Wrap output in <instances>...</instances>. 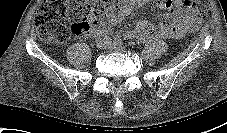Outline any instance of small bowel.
<instances>
[{"label": "small bowel", "mask_w": 227, "mask_h": 133, "mask_svg": "<svg viewBox=\"0 0 227 133\" xmlns=\"http://www.w3.org/2000/svg\"><path fill=\"white\" fill-rule=\"evenodd\" d=\"M149 0H126L123 2L118 13L114 16V21L118 22L126 17L132 10L133 5H143ZM160 9L165 10L168 21L162 22L157 28L147 21L140 22L136 28L127 29L124 35L129 39H159V38H179L186 33L194 32L199 28V18L190 10L182 11L183 0H157ZM103 29L94 28L91 31L93 36L105 34Z\"/></svg>", "instance_id": "obj_1"}]
</instances>
